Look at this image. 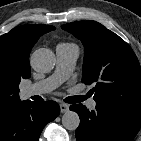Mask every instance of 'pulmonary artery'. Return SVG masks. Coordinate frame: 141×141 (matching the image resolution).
<instances>
[{
    "instance_id": "1",
    "label": "pulmonary artery",
    "mask_w": 141,
    "mask_h": 141,
    "mask_svg": "<svg viewBox=\"0 0 141 141\" xmlns=\"http://www.w3.org/2000/svg\"><path fill=\"white\" fill-rule=\"evenodd\" d=\"M57 63L55 71L49 77L25 87L22 91L24 97L43 95L60 86L69 78L74 70L79 49L73 44H59L56 47ZM88 108L94 109L96 101L91 99L87 103Z\"/></svg>"
}]
</instances>
